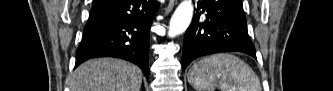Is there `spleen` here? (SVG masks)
Returning <instances> with one entry per match:
<instances>
[{"label":"spleen","mask_w":333,"mask_h":91,"mask_svg":"<svg viewBox=\"0 0 333 91\" xmlns=\"http://www.w3.org/2000/svg\"><path fill=\"white\" fill-rule=\"evenodd\" d=\"M188 82L195 91H261V83L252 68L239 57L220 53L194 63ZM219 79V81H217Z\"/></svg>","instance_id":"3e777b00"}]
</instances>
